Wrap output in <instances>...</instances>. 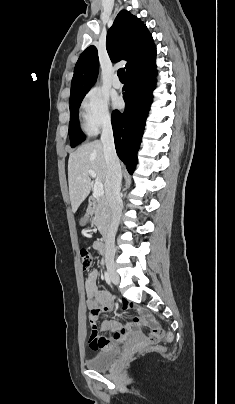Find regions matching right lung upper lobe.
I'll return each mask as SVG.
<instances>
[{"mask_svg":"<svg viewBox=\"0 0 235 404\" xmlns=\"http://www.w3.org/2000/svg\"><path fill=\"white\" fill-rule=\"evenodd\" d=\"M106 48L112 62L126 60V74L156 58V47L147 27L126 10H121L107 33ZM99 70L98 52L89 46L80 55L71 83L70 102L85 96Z\"/></svg>","mask_w":235,"mask_h":404,"instance_id":"obj_1","label":"right lung upper lobe"}]
</instances>
